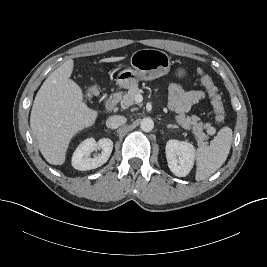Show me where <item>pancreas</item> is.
<instances>
[{
    "mask_svg": "<svg viewBox=\"0 0 267 267\" xmlns=\"http://www.w3.org/2000/svg\"><path fill=\"white\" fill-rule=\"evenodd\" d=\"M141 93L138 85L131 87L124 96L121 98V106L127 108L135 103V97ZM175 120L178 125L182 126L184 129L192 130L193 135L198 144H202L208 140V135L203 132V129H208L211 127L210 123L203 124L200 118L196 115H185L180 114L175 116Z\"/></svg>",
    "mask_w": 267,
    "mask_h": 267,
    "instance_id": "cf45deb5",
    "label": "pancreas"
}]
</instances>
